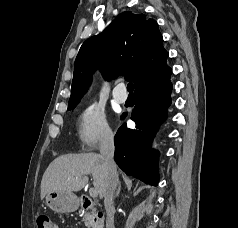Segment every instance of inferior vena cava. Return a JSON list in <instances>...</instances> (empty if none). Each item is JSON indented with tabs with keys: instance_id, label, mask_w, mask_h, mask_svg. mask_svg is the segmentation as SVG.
<instances>
[{
	"instance_id": "obj_1",
	"label": "inferior vena cava",
	"mask_w": 238,
	"mask_h": 228,
	"mask_svg": "<svg viewBox=\"0 0 238 228\" xmlns=\"http://www.w3.org/2000/svg\"><path fill=\"white\" fill-rule=\"evenodd\" d=\"M99 150L104 160L108 177L104 193V205L106 209V228H115L114 226V192L118 184V174L114 162V137L112 133L107 134L100 142Z\"/></svg>"
}]
</instances>
